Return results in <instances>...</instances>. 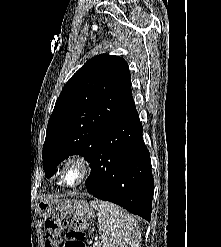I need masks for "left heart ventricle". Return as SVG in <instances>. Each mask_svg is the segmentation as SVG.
<instances>
[{
  "instance_id": "b2bd125f",
  "label": "left heart ventricle",
  "mask_w": 221,
  "mask_h": 247,
  "mask_svg": "<svg viewBox=\"0 0 221 247\" xmlns=\"http://www.w3.org/2000/svg\"><path fill=\"white\" fill-rule=\"evenodd\" d=\"M80 173L76 168H70L68 170L66 180L68 183L73 184L79 179Z\"/></svg>"
}]
</instances>
